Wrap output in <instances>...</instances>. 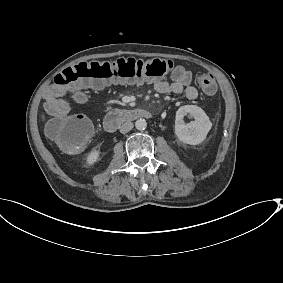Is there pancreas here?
<instances>
[{
  "label": "pancreas",
  "mask_w": 283,
  "mask_h": 283,
  "mask_svg": "<svg viewBox=\"0 0 283 283\" xmlns=\"http://www.w3.org/2000/svg\"><path fill=\"white\" fill-rule=\"evenodd\" d=\"M121 114L123 115V117H128L130 114H131V111H129V110H123V111H121Z\"/></svg>",
  "instance_id": "cf45deb5"
}]
</instances>
